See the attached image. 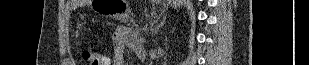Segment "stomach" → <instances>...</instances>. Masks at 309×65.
Masks as SVG:
<instances>
[{"mask_svg":"<svg viewBox=\"0 0 309 65\" xmlns=\"http://www.w3.org/2000/svg\"><path fill=\"white\" fill-rule=\"evenodd\" d=\"M93 8L105 17L121 19L128 10L126 0H95Z\"/></svg>","mask_w":309,"mask_h":65,"instance_id":"1","label":"stomach"}]
</instances>
